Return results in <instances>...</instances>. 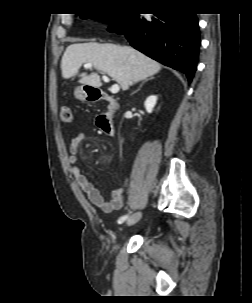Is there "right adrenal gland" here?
<instances>
[{
    "label": "right adrenal gland",
    "mask_w": 252,
    "mask_h": 303,
    "mask_svg": "<svg viewBox=\"0 0 252 303\" xmlns=\"http://www.w3.org/2000/svg\"><path fill=\"white\" fill-rule=\"evenodd\" d=\"M151 79H153V77H150L149 79H146V80L140 85V87H139L136 91H134L131 95H133V94H135L137 91H139L140 88L143 86V84H144L145 82H147L148 80H151Z\"/></svg>",
    "instance_id": "obj_1"
}]
</instances>
